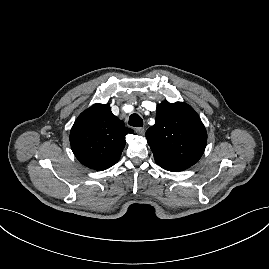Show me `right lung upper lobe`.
I'll return each instance as SVG.
<instances>
[{"mask_svg":"<svg viewBox=\"0 0 269 269\" xmlns=\"http://www.w3.org/2000/svg\"><path fill=\"white\" fill-rule=\"evenodd\" d=\"M128 133L133 130L112 114L109 104H94L76 119L70 144L83 165L101 171L119 160Z\"/></svg>","mask_w":269,"mask_h":269,"instance_id":"right-lung-upper-lobe-1","label":"right lung upper lobe"}]
</instances>
